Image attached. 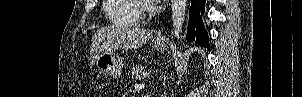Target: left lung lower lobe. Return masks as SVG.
I'll list each match as a JSON object with an SVG mask.
<instances>
[{"label":"left lung lower lobe","mask_w":302,"mask_h":97,"mask_svg":"<svg viewBox=\"0 0 302 97\" xmlns=\"http://www.w3.org/2000/svg\"><path fill=\"white\" fill-rule=\"evenodd\" d=\"M206 0H191L189 8V26L187 33V40L194 41L202 47H208V34L204 29L202 16L200 12L204 13V5Z\"/></svg>","instance_id":"1"}]
</instances>
